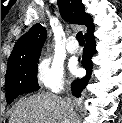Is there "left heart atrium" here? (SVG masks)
Instances as JSON below:
<instances>
[{
    "label": "left heart atrium",
    "instance_id": "1",
    "mask_svg": "<svg viewBox=\"0 0 122 123\" xmlns=\"http://www.w3.org/2000/svg\"><path fill=\"white\" fill-rule=\"evenodd\" d=\"M71 70L73 71V73L77 74L79 72V69L77 68L76 64L73 63L71 64Z\"/></svg>",
    "mask_w": 122,
    "mask_h": 123
}]
</instances>
